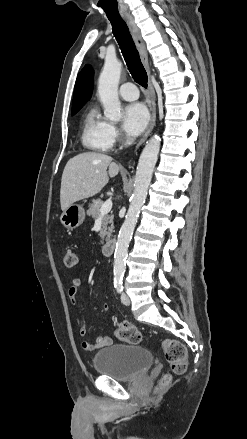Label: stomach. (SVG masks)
<instances>
[{"label":"stomach","instance_id":"1","mask_svg":"<svg viewBox=\"0 0 247 439\" xmlns=\"http://www.w3.org/2000/svg\"><path fill=\"white\" fill-rule=\"evenodd\" d=\"M85 219V211L82 206L72 204L63 210L60 217L61 223L69 229H75L79 227Z\"/></svg>","mask_w":247,"mask_h":439}]
</instances>
